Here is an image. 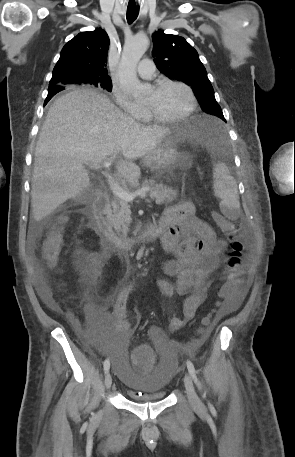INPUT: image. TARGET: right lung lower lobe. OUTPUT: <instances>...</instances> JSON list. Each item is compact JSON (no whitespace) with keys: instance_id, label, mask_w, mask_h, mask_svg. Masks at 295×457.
<instances>
[{"instance_id":"obj_1","label":"right lung lower lobe","mask_w":295,"mask_h":457,"mask_svg":"<svg viewBox=\"0 0 295 457\" xmlns=\"http://www.w3.org/2000/svg\"><path fill=\"white\" fill-rule=\"evenodd\" d=\"M64 88L62 87H49L48 88V96L45 100V104L56 94L58 93L59 91L63 90Z\"/></svg>"}]
</instances>
